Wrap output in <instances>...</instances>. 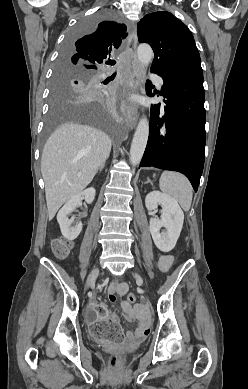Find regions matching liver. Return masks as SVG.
<instances>
[{
	"label": "liver",
	"mask_w": 248,
	"mask_h": 389,
	"mask_svg": "<svg viewBox=\"0 0 248 389\" xmlns=\"http://www.w3.org/2000/svg\"><path fill=\"white\" fill-rule=\"evenodd\" d=\"M103 131L78 123L64 124L48 138L41 158V173L49 219L93 180L111 151Z\"/></svg>",
	"instance_id": "obj_1"
}]
</instances>
